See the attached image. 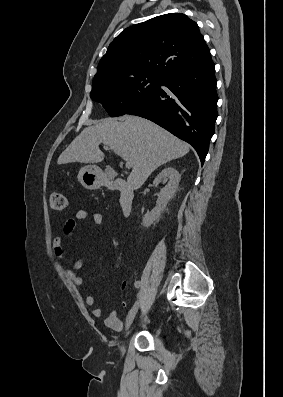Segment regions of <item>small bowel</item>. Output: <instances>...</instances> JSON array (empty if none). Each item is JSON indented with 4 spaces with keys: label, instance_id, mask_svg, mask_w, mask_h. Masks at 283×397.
Returning <instances> with one entry per match:
<instances>
[{
    "label": "small bowel",
    "instance_id": "obj_1",
    "mask_svg": "<svg viewBox=\"0 0 283 397\" xmlns=\"http://www.w3.org/2000/svg\"><path fill=\"white\" fill-rule=\"evenodd\" d=\"M87 218H91L93 223L96 226H100L103 223V216L98 212H91L87 209L78 210L74 217L68 218L63 225V236H57L53 240V251L54 255L58 259H62L64 256V240L65 238L70 237L76 226L78 221L85 220ZM84 267L83 260H77L71 269L66 270V275L70 281H72L77 286H82L85 282L83 276L79 275L77 272L80 271ZM125 286V285H124ZM85 303L87 306L92 307V313L94 316L103 318L104 323L110 329L120 332L123 329V323L118 318L115 311H111L108 314H104L102 309L95 307L96 300L92 295H88L85 298Z\"/></svg>",
    "mask_w": 283,
    "mask_h": 397
}]
</instances>
